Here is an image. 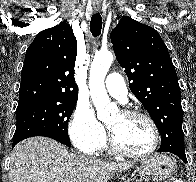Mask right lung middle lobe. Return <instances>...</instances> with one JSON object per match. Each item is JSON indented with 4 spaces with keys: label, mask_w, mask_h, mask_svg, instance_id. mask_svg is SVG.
<instances>
[{
    "label": "right lung middle lobe",
    "mask_w": 196,
    "mask_h": 182,
    "mask_svg": "<svg viewBox=\"0 0 196 182\" xmlns=\"http://www.w3.org/2000/svg\"><path fill=\"white\" fill-rule=\"evenodd\" d=\"M76 102L77 99H58L18 105L13 142L36 134H53L70 146L67 125Z\"/></svg>",
    "instance_id": "dd1d6c3e"
}]
</instances>
